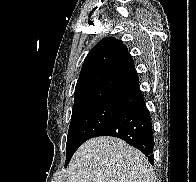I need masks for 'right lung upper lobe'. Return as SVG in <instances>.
Returning a JSON list of instances; mask_svg holds the SVG:
<instances>
[{
	"mask_svg": "<svg viewBox=\"0 0 196 182\" xmlns=\"http://www.w3.org/2000/svg\"><path fill=\"white\" fill-rule=\"evenodd\" d=\"M132 56L121 40L106 37L85 58L73 109L99 101L135 107L142 99Z\"/></svg>",
	"mask_w": 196,
	"mask_h": 182,
	"instance_id": "cb5924a9",
	"label": "right lung upper lobe"
}]
</instances>
